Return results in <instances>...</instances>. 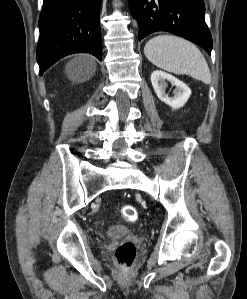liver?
<instances>
[{"label": "liver", "instance_id": "1", "mask_svg": "<svg viewBox=\"0 0 247 299\" xmlns=\"http://www.w3.org/2000/svg\"><path fill=\"white\" fill-rule=\"evenodd\" d=\"M66 71L74 80L86 79L95 73L96 63L94 58L89 55H78L68 63Z\"/></svg>", "mask_w": 247, "mask_h": 299}]
</instances>
